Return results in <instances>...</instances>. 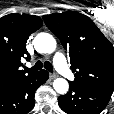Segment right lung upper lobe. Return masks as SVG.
<instances>
[{
  "instance_id": "cb5924a9",
  "label": "right lung upper lobe",
  "mask_w": 114,
  "mask_h": 114,
  "mask_svg": "<svg viewBox=\"0 0 114 114\" xmlns=\"http://www.w3.org/2000/svg\"><path fill=\"white\" fill-rule=\"evenodd\" d=\"M33 15L9 14L0 18V90L36 73L20 70L21 58L30 59L26 50L29 36L42 26Z\"/></svg>"
}]
</instances>
